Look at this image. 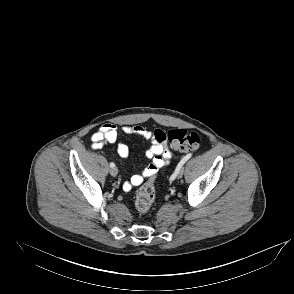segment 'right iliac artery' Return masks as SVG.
<instances>
[{
    "label": "right iliac artery",
    "mask_w": 294,
    "mask_h": 294,
    "mask_svg": "<svg viewBox=\"0 0 294 294\" xmlns=\"http://www.w3.org/2000/svg\"><path fill=\"white\" fill-rule=\"evenodd\" d=\"M110 167L111 168L115 167V164L114 163H110Z\"/></svg>",
    "instance_id": "82829eb1"
}]
</instances>
